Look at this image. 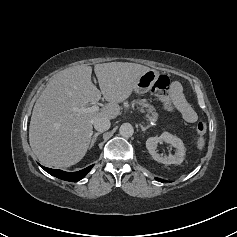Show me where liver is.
<instances>
[{
    "instance_id": "liver-1",
    "label": "liver",
    "mask_w": 237,
    "mask_h": 237,
    "mask_svg": "<svg viewBox=\"0 0 237 237\" xmlns=\"http://www.w3.org/2000/svg\"><path fill=\"white\" fill-rule=\"evenodd\" d=\"M149 67L111 62L94 67L100 90L92 83V67L79 65L56 74L37 99L29 126L32 151L45 166L70 167L86 154L96 118L114 119L119 103L132 94L139 77ZM103 98L109 103L97 112L78 114L75 108L86 107Z\"/></svg>"
}]
</instances>
